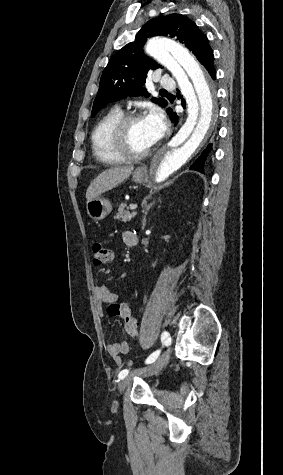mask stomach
Listing matches in <instances>:
<instances>
[{"label":"stomach","mask_w":283,"mask_h":475,"mask_svg":"<svg viewBox=\"0 0 283 475\" xmlns=\"http://www.w3.org/2000/svg\"><path fill=\"white\" fill-rule=\"evenodd\" d=\"M148 178L146 168H136L132 174V182H135V184H144V182H148ZM86 208L88 216L93 220H104L112 210L111 202L106 198L88 200Z\"/></svg>","instance_id":"stomach-1"}]
</instances>
